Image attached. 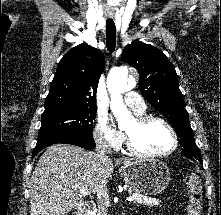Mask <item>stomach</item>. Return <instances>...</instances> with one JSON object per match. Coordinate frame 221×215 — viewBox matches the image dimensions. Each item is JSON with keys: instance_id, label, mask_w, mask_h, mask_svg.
<instances>
[{"instance_id": "1", "label": "stomach", "mask_w": 221, "mask_h": 215, "mask_svg": "<svg viewBox=\"0 0 221 215\" xmlns=\"http://www.w3.org/2000/svg\"><path fill=\"white\" fill-rule=\"evenodd\" d=\"M123 181L135 194L156 195L169 184L170 172L160 160H127L122 167Z\"/></svg>"}]
</instances>
